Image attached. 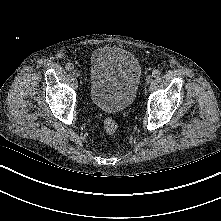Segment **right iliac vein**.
<instances>
[{
	"label": "right iliac vein",
	"instance_id": "right-iliac-vein-1",
	"mask_svg": "<svg viewBox=\"0 0 221 221\" xmlns=\"http://www.w3.org/2000/svg\"><path fill=\"white\" fill-rule=\"evenodd\" d=\"M72 74H73L74 77H79V76H80V72H79V70H77V69H74V70L72 71Z\"/></svg>",
	"mask_w": 221,
	"mask_h": 221
}]
</instances>
